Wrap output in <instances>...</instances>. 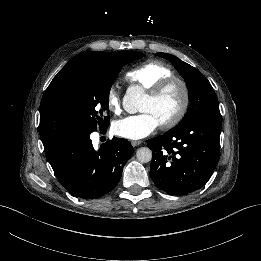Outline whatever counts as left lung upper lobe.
<instances>
[{
    "label": "left lung upper lobe",
    "instance_id": "obj_1",
    "mask_svg": "<svg viewBox=\"0 0 261 261\" xmlns=\"http://www.w3.org/2000/svg\"><path fill=\"white\" fill-rule=\"evenodd\" d=\"M168 59L184 78L188 91L190 106L183 121L171 130H179L201 117L220 119L217 96L207 78L196 68L167 53H157Z\"/></svg>",
    "mask_w": 261,
    "mask_h": 261
}]
</instances>
